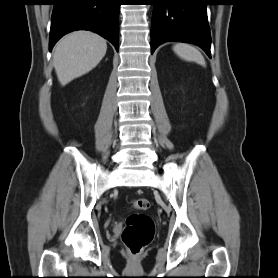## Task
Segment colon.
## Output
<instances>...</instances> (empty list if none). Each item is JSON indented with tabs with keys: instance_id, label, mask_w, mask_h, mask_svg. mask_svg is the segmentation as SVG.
Returning <instances> with one entry per match:
<instances>
[{
	"instance_id": "5ec220e1",
	"label": "colon",
	"mask_w": 278,
	"mask_h": 278,
	"mask_svg": "<svg viewBox=\"0 0 278 278\" xmlns=\"http://www.w3.org/2000/svg\"><path fill=\"white\" fill-rule=\"evenodd\" d=\"M132 206L139 211H145L150 203L145 198L133 200ZM155 227L150 216L144 213H133L128 216L122 233V240L129 253H140L153 240Z\"/></svg>"
}]
</instances>
